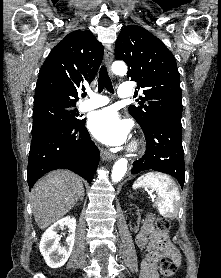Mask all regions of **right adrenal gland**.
I'll return each instance as SVG.
<instances>
[{
  "label": "right adrenal gland",
  "mask_w": 221,
  "mask_h": 278,
  "mask_svg": "<svg viewBox=\"0 0 221 278\" xmlns=\"http://www.w3.org/2000/svg\"><path fill=\"white\" fill-rule=\"evenodd\" d=\"M84 195H85V193H84V191H83V193H82V195H81V197H80V200H81V201H83Z\"/></svg>",
  "instance_id": "obj_1"
}]
</instances>
